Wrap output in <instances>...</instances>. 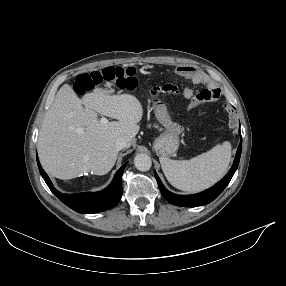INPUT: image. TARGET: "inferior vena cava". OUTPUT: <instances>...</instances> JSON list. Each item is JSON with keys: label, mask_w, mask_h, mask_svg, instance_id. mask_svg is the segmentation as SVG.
Segmentation results:
<instances>
[{"label": "inferior vena cava", "mask_w": 286, "mask_h": 286, "mask_svg": "<svg viewBox=\"0 0 286 286\" xmlns=\"http://www.w3.org/2000/svg\"><path fill=\"white\" fill-rule=\"evenodd\" d=\"M115 147L118 151H120L121 149L128 147V142L126 139L120 138L117 140Z\"/></svg>", "instance_id": "inferior-vena-cava-1"}]
</instances>
